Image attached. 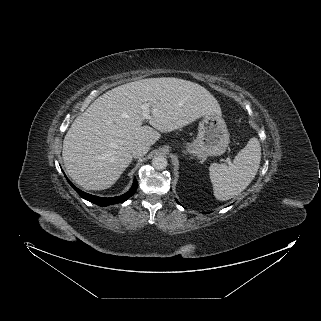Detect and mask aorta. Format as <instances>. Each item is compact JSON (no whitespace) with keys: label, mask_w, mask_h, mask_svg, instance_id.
<instances>
[{"label":"aorta","mask_w":321,"mask_h":321,"mask_svg":"<svg viewBox=\"0 0 321 321\" xmlns=\"http://www.w3.org/2000/svg\"><path fill=\"white\" fill-rule=\"evenodd\" d=\"M168 165L167 159L164 156H156L152 159V166L156 170H164Z\"/></svg>","instance_id":"1"}]
</instances>
